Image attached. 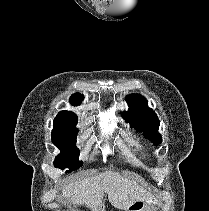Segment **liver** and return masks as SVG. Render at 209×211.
Segmentation results:
<instances>
[{"mask_svg": "<svg viewBox=\"0 0 209 211\" xmlns=\"http://www.w3.org/2000/svg\"><path fill=\"white\" fill-rule=\"evenodd\" d=\"M104 193L109 202L119 210L128 209L138 201L152 197L135 181L119 172L107 170L82 181L69 183L62 188V197L75 205H86L92 211H101Z\"/></svg>", "mask_w": 209, "mask_h": 211, "instance_id": "6515ba94", "label": "liver"}]
</instances>
